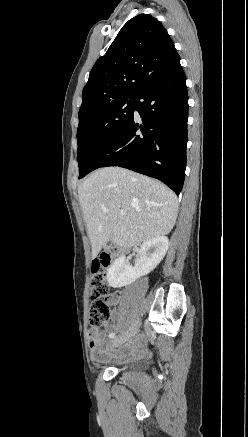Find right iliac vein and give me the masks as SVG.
<instances>
[{
    "label": "right iliac vein",
    "instance_id": "right-iliac-vein-1",
    "mask_svg": "<svg viewBox=\"0 0 248 437\" xmlns=\"http://www.w3.org/2000/svg\"><path fill=\"white\" fill-rule=\"evenodd\" d=\"M139 326H140V322L137 321L136 323L133 324V326L130 328V330L127 333L116 337L111 342L110 346L111 347H118V346L122 345L123 343H125L127 340H129L132 336H134L136 334Z\"/></svg>",
    "mask_w": 248,
    "mask_h": 437
}]
</instances>
